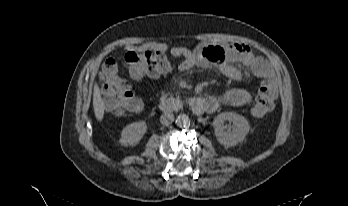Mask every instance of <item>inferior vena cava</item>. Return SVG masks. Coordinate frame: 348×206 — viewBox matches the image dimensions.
<instances>
[{"instance_id": "602c4592", "label": "inferior vena cava", "mask_w": 348, "mask_h": 206, "mask_svg": "<svg viewBox=\"0 0 348 206\" xmlns=\"http://www.w3.org/2000/svg\"><path fill=\"white\" fill-rule=\"evenodd\" d=\"M173 121H174V115L171 112H165L160 117V122L166 126L170 125Z\"/></svg>"}]
</instances>
